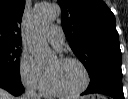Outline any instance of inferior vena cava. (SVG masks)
<instances>
[{
    "instance_id": "602c4592",
    "label": "inferior vena cava",
    "mask_w": 128,
    "mask_h": 99,
    "mask_svg": "<svg viewBox=\"0 0 128 99\" xmlns=\"http://www.w3.org/2000/svg\"><path fill=\"white\" fill-rule=\"evenodd\" d=\"M23 99H40L39 95L36 93L34 88H28L25 91Z\"/></svg>"
}]
</instances>
